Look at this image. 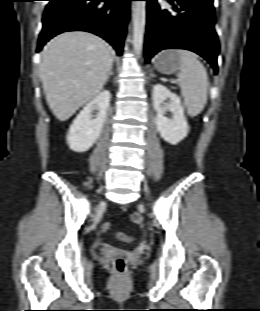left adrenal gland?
<instances>
[{
  "mask_svg": "<svg viewBox=\"0 0 260 311\" xmlns=\"http://www.w3.org/2000/svg\"><path fill=\"white\" fill-rule=\"evenodd\" d=\"M150 76H151V77H156V75H154L152 71H151Z\"/></svg>",
  "mask_w": 260,
  "mask_h": 311,
  "instance_id": "obj_1",
  "label": "left adrenal gland"
}]
</instances>
